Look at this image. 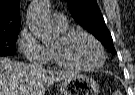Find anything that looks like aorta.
<instances>
[{"label": "aorta", "instance_id": "aorta-1", "mask_svg": "<svg viewBox=\"0 0 135 95\" xmlns=\"http://www.w3.org/2000/svg\"><path fill=\"white\" fill-rule=\"evenodd\" d=\"M48 12V0H34L27 15L29 29L43 43L49 42L55 37L49 24Z\"/></svg>", "mask_w": 135, "mask_h": 95}]
</instances>
